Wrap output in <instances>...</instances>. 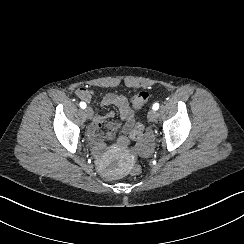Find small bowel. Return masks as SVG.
Instances as JSON below:
<instances>
[{
  "instance_id": "1",
  "label": "small bowel",
  "mask_w": 244,
  "mask_h": 244,
  "mask_svg": "<svg viewBox=\"0 0 244 244\" xmlns=\"http://www.w3.org/2000/svg\"><path fill=\"white\" fill-rule=\"evenodd\" d=\"M76 95L79 99L89 103L93 112L96 111L97 103L93 101V93L87 88H79L76 91ZM100 104L103 106L116 105L119 108V114L121 123L115 121H108L106 124L107 131L105 133L100 132V128L104 121L114 117V112L110 111L104 115L95 114L93 123L91 125V134L98 140H110L116 134L127 135L131 128L135 124L134 112L130 107L128 99L116 93H107L101 100ZM154 139V133L151 130H146L143 133V138L139 141V151L141 155L148 156L151 153L152 141Z\"/></svg>"
}]
</instances>
